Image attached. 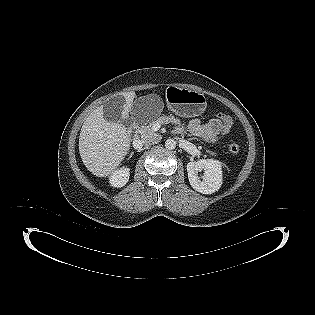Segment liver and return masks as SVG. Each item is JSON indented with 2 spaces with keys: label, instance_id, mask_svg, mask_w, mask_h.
Returning a JSON list of instances; mask_svg holds the SVG:
<instances>
[{
  "label": "liver",
  "instance_id": "obj_1",
  "mask_svg": "<svg viewBox=\"0 0 315 315\" xmlns=\"http://www.w3.org/2000/svg\"><path fill=\"white\" fill-rule=\"evenodd\" d=\"M125 101L124 116L128 117L134 92L121 93ZM131 145L127 128L109 122L103 116V105L97 107L84 121L79 136V153L86 168L97 177H108L118 170Z\"/></svg>",
  "mask_w": 315,
  "mask_h": 315
}]
</instances>
